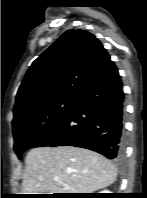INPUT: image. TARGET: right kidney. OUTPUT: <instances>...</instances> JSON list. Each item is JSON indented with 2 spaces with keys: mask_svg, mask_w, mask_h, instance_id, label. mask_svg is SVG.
<instances>
[{
  "mask_svg": "<svg viewBox=\"0 0 147 198\" xmlns=\"http://www.w3.org/2000/svg\"><path fill=\"white\" fill-rule=\"evenodd\" d=\"M100 193H110V191L104 190V191H101Z\"/></svg>",
  "mask_w": 147,
  "mask_h": 198,
  "instance_id": "1",
  "label": "right kidney"
}]
</instances>
